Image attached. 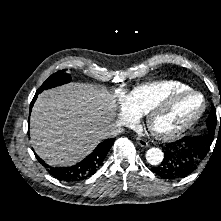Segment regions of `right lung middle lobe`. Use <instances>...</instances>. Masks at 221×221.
I'll return each instance as SVG.
<instances>
[{
	"mask_svg": "<svg viewBox=\"0 0 221 221\" xmlns=\"http://www.w3.org/2000/svg\"><path fill=\"white\" fill-rule=\"evenodd\" d=\"M71 81V77L66 73V70L58 71L52 74L38 89V92H42L45 89L53 88L59 85L66 84Z\"/></svg>",
	"mask_w": 221,
	"mask_h": 221,
	"instance_id": "right-lung-middle-lobe-1",
	"label": "right lung middle lobe"
}]
</instances>
